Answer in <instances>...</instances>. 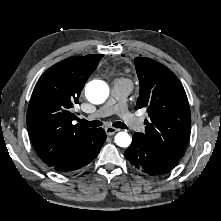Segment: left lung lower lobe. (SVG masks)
<instances>
[{"label": "left lung lower lobe", "mask_w": 221, "mask_h": 221, "mask_svg": "<svg viewBox=\"0 0 221 221\" xmlns=\"http://www.w3.org/2000/svg\"><path fill=\"white\" fill-rule=\"evenodd\" d=\"M124 155L136 169L151 176L169 172L179 161L157 146L145 141L139 133L134 134L132 143Z\"/></svg>", "instance_id": "left-lung-lower-lobe-1"}]
</instances>
